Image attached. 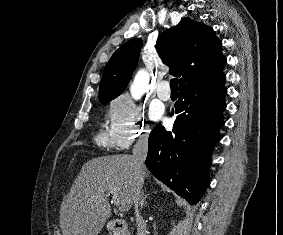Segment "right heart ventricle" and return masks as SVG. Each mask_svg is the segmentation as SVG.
Masks as SVG:
<instances>
[{
    "instance_id": "obj_1",
    "label": "right heart ventricle",
    "mask_w": 283,
    "mask_h": 235,
    "mask_svg": "<svg viewBox=\"0 0 283 235\" xmlns=\"http://www.w3.org/2000/svg\"><path fill=\"white\" fill-rule=\"evenodd\" d=\"M97 142L102 146H109L112 145V139L109 133L105 131H101L98 134Z\"/></svg>"
}]
</instances>
